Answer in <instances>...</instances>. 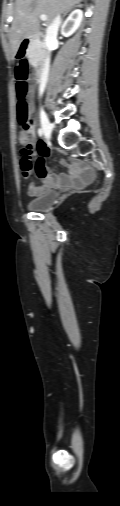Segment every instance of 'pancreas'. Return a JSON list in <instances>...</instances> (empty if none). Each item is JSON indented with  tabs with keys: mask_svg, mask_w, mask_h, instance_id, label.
Wrapping results in <instances>:
<instances>
[{
	"mask_svg": "<svg viewBox=\"0 0 120 506\" xmlns=\"http://www.w3.org/2000/svg\"><path fill=\"white\" fill-rule=\"evenodd\" d=\"M44 52V44L41 41H33L27 50V56L30 62H37L42 58Z\"/></svg>",
	"mask_w": 120,
	"mask_h": 506,
	"instance_id": "pancreas-1",
	"label": "pancreas"
}]
</instances>
